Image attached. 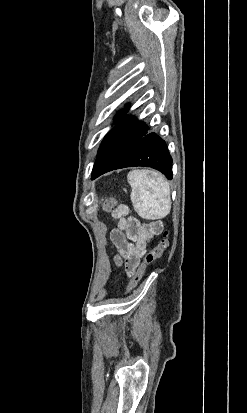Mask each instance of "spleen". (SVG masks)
Returning <instances> with one entry per match:
<instances>
[{"label":"spleen","instance_id":"1","mask_svg":"<svg viewBox=\"0 0 247 413\" xmlns=\"http://www.w3.org/2000/svg\"><path fill=\"white\" fill-rule=\"evenodd\" d=\"M127 180L132 188L130 198L133 207L140 211L148 204L151 219H163L171 209L170 184L161 172L156 170H130Z\"/></svg>","mask_w":247,"mask_h":413}]
</instances>
